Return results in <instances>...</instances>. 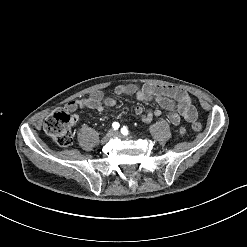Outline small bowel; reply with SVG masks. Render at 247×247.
<instances>
[{
  "mask_svg": "<svg viewBox=\"0 0 247 247\" xmlns=\"http://www.w3.org/2000/svg\"><path fill=\"white\" fill-rule=\"evenodd\" d=\"M114 93L118 96H135L140 101L154 100L162 109L169 112L168 118L173 125L180 122V114L185 121L191 125L197 124V110L191 105L188 92L182 88L170 85L146 84L138 86L134 83L119 84L114 88ZM116 100L113 97H105L102 91H94L90 96L68 102L65 108L70 112L79 109H91L106 111L114 107ZM136 115L140 116L143 122H150L153 118H159L162 111L157 109L151 113H145L141 105L134 109ZM74 121L78 120V115L73 116ZM73 121V122H74ZM183 134V130L180 131Z\"/></svg>",
  "mask_w": 247,
  "mask_h": 247,
  "instance_id": "obj_1",
  "label": "small bowel"
}]
</instances>
